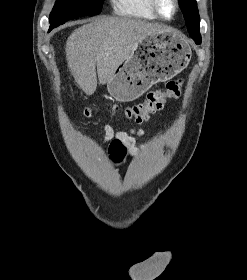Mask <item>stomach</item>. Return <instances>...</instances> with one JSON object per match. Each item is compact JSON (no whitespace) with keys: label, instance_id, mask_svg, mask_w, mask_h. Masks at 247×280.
Wrapping results in <instances>:
<instances>
[{"label":"stomach","instance_id":"1","mask_svg":"<svg viewBox=\"0 0 247 280\" xmlns=\"http://www.w3.org/2000/svg\"><path fill=\"white\" fill-rule=\"evenodd\" d=\"M190 57L191 48L181 35L171 31L149 35L116 68L107 89L117 101H133L152 85L180 73Z\"/></svg>","mask_w":247,"mask_h":280}]
</instances>
